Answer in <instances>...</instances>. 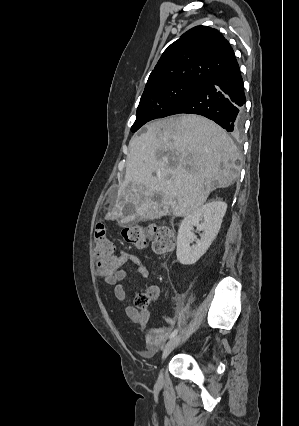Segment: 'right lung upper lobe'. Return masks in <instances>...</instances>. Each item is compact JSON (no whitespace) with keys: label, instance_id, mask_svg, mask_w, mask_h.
<instances>
[{"label":"right lung upper lobe","instance_id":"right-lung-upper-lobe-1","mask_svg":"<svg viewBox=\"0 0 299 426\" xmlns=\"http://www.w3.org/2000/svg\"><path fill=\"white\" fill-rule=\"evenodd\" d=\"M236 62L232 47L218 30L196 26L164 51L145 90L174 82L201 86Z\"/></svg>","mask_w":299,"mask_h":426}]
</instances>
